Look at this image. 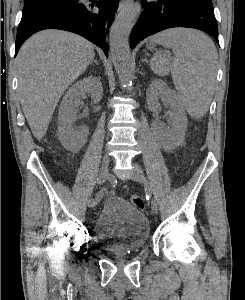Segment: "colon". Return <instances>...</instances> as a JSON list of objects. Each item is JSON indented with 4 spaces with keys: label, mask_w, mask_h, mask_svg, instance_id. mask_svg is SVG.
Wrapping results in <instances>:
<instances>
[{
    "label": "colon",
    "mask_w": 245,
    "mask_h": 300,
    "mask_svg": "<svg viewBox=\"0 0 245 300\" xmlns=\"http://www.w3.org/2000/svg\"><path fill=\"white\" fill-rule=\"evenodd\" d=\"M131 201L133 205L138 209H143L145 206V202L143 198H141L140 196L137 195L132 196Z\"/></svg>",
    "instance_id": "colon-1"
}]
</instances>
